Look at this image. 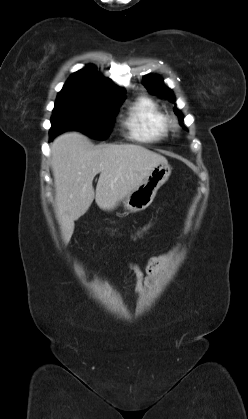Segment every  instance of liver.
<instances>
[{
  "mask_svg": "<svg viewBox=\"0 0 248 419\" xmlns=\"http://www.w3.org/2000/svg\"><path fill=\"white\" fill-rule=\"evenodd\" d=\"M164 156L135 144L94 147L86 136L67 132L51 144L56 214L67 244L78 220L95 199L102 210H112L142 184L151 170L166 163ZM100 173L96 191L94 177Z\"/></svg>",
  "mask_w": 248,
  "mask_h": 419,
  "instance_id": "obj_1",
  "label": "liver"
}]
</instances>
